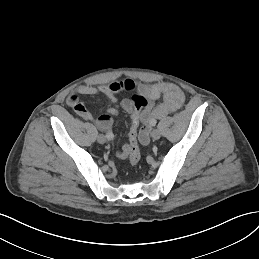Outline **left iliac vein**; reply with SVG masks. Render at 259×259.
Wrapping results in <instances>:
<instances>
[{
	"instance_id": "obj_1",
	"label": "left iliac vein",
	"mask_w": 259,
	"mask_h": 259,
	"mask_svg": "<svg viewBox=\"0 0 259 259\" xmlns=\"http://www.w3.org/2000/svg\"><path fill=\"white\" fill-rule=\"evenodd\" d=\"M151 136H152V138H153L154 140H158V139L160 138V136H161V133H160V131H159L158 129H154V130L152 131Z\"/></svg>"
}]
</instances>
